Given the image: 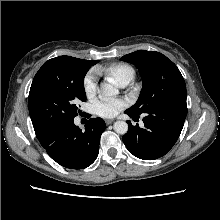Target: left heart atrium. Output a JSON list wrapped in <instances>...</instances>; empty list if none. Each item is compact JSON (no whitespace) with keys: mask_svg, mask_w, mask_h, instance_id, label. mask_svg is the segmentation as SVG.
<instances>
[{"mask_svg":"<svg viewBox=\"0 0 220 220\" xmlns=\"http://www.w3.org/2000/svg\"><path fill=\"white\" fill-rule=\"evenodd\" d=\"M124 107L121 100L116 99H99L93 103V111L101 117H114Z\"/></svg>","mask_w":220,"mask_h":220,"instance_id":"1","label":"left heart atrium"}]
</instances>
